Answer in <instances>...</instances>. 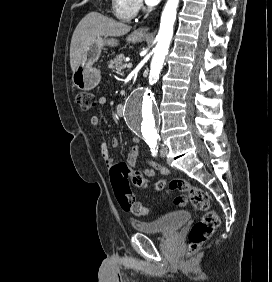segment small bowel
<instances>
[{
  "mask_svg": "<svg viewBox=\"0 0 272 282\" xmlns=\"http://www.w3.org/2000/svg\"><path fill=\"white\" fill-rule=\"evenodd\" d=\"M106 103V99L103 97L100 99V104L104 105ZM90 123L92 126L96 127L100 123V117L98 115H94L90 119ZM133 143L134 145L131 148V151L129 153V156L126 161H124L122 164L130 170L131 167H133L136 163V158H137V153L139 150V144H140V138L139 137H134L133 138ZM110 145L113 148L118 147V140L116 138H113L110 141ZM100 150H101V155L103 158L104 163L107 166H111L114 162V158L110 155L109 153V143L107 141H102L100 144ZM144 163L146 165H149L150 167H147L143 170V174L147 177H152L155 174V171H160L162 174H167L168 170L159 165L156 162H152L149 159H145ZM152 187L155 190H162L165 187V181L164 180H158L153 183H147L145 186L141 188H149Z\"/></svg>",
  "mask_w": 272,
  "mask_h": 282,
  "instance_id": "obj_1",
  "label": "small bowel"
}]
</instances>
